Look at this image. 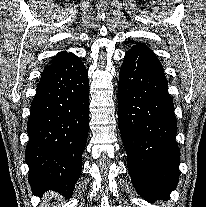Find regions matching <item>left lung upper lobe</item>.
I'll return each instance as SVG.
<instances>
[{"instance_id":"left-lung-upper-lobe-1","label":"left lung upper lobe","mask_w":206,"mask_h":207,"mask_svg":"<svg viewBox=\"0 0 206 207\" xmlns=\"http://www.w3.org/2000/svg\"><path fill=\"white\" fill-rule=\"evenodd\" d=\"M139 45L145 46V45H143V44H139ZM145 47H146V46H145Z\"/></svg>"}]
</instances>
